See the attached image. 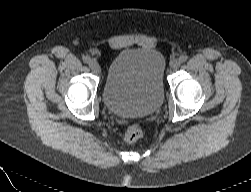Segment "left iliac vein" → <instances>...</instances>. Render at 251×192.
Returning <instances> with one entry per match:
<instances>
[{
  "label": "left iliac vein",
  "mask_w": 251,
  "mask_h": 192,
  "mask_svg": "<svg viewBox=\"0 0 251 192\" xmlns=\"http://www.w3.org/2000/svg\"><path fill=\"white\" fill-rule=\"evenodd\" d=\"M180 64H181V62H180V60H174L173 62H172V64H171V67H172V69H177L179 66H180Z\"/></svg>",
  "instance_id": "4c4485c4"
}]
</instances>
